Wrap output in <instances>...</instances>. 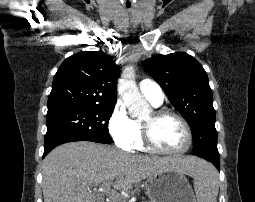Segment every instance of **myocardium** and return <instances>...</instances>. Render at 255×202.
Wrapping results in <instances>:
<instances>
[{"label":"myocardium","instance_id":"obj_1","mask_svg":"<svg viewBox=\"0 0 255 202\" xmlns=\"http://www.w3.org/2000/svg\"><path fill=\"white\" fill-rule=\"evenodd\" d=\"M166 117L176 118L184 127V130L186 133V144L183 148L179 150L169 151V150L161 149L160 147L157 146V144L154 141V138H153L154 124L158 122L159 120ZM142 137H143V142L149 151L153 153H157V154H162V155H181L189 150L193 142L192 131L186 119L180 114L167 109H156L152 112V116L150 120L142 121Z\"/></svg>","mask_w":255,"mask_h":202}]
</instances>
